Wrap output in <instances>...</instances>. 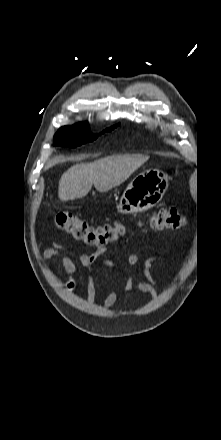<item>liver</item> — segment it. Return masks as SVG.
Returning a JSON list of instances; mask_svg holds the SVG:
<instances>
[{"instance_id":"1","label":"liver","mask_w":221,"mask_h":440,"mask_svg":"<svg viewBox=\"0 0 221 440\" xmlns=\"http://www.w3.org/2000/svg\"><path fill=\"white\" fill-rule=\"evenodd\" d=\"M147 160L148 157L141 155H119L76 164L61 176L59 199L69 201L83 198L92 185L99 192H107L127 180Z\"/></svg>"}]
</instances>
